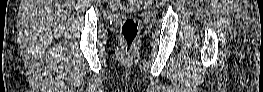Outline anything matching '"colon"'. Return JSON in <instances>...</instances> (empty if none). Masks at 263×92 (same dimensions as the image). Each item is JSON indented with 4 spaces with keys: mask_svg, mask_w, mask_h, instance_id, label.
<instances>
[{
    "mask_svg": "<svg viewBox=\"0 0 263 92\" xmlns=\"http://www.w3.org/2000/svg\"><path fill=\"white\" fill-rule=\"evenodd\" d=\"M113 3H119V1H113ZM121 33L123 37L122 49L124 51H128L134 43V41L136 40L138 34V20L133 17L126 18L122 24Z\"/></svg>",
    "mask_w": 263,
    "mask_h": 92,
    "instance_id": "obj_1",
    "label": "colon"
}]
</instances>
